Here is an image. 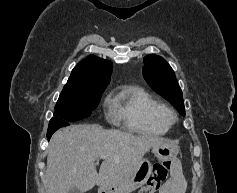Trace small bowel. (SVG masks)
Returning <instances> with one entry per match:
<instances>
[{
  "label": "small bowel",
  "instance_id": "small-bowel-1",
  "mask_svg": "<svg viewBox=\"0 0 237 193\" xmlns=\"http://www.w3.org/2000/svg\"><path fill=\"white\" fill-rule=\"evenodd\" d=\"M172 173L170 179L162 186L159 193H185L187 188L186 180L182 174L181 167L176 160L171 162Z\"/></svg>",
  "mask_w": 237,
  "mask_h": 193
}]
</instances>
